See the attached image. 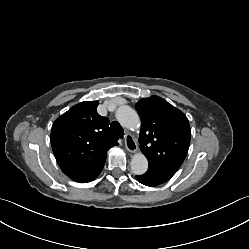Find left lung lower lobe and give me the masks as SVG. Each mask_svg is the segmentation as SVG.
<instances>
[{"mask_svg": "<svg viewBox=\"0 0 249 249\" xmlns=\"http://www.w3.org/2000/svg\"><path fill=\"white\" fill-rule=\"evenodd\" d=\"M171 177L172 176L169 174L148 168V171L145 174L136 176V179L146 186L154 187L167 182Z\"/></svg>", "mask_w": 249, "mask_h": 249, "instance_id": "left-lung-lower-lobe-1", "label": "left lung lower lobe"}]
</instances>
